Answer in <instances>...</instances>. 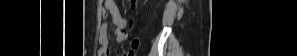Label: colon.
I'll return each mask as SVG.
<instances>
[{
	"mask_svg": "<svg viewBox=\"0 0 297 56\" xmlns=\"http://www.w3.org/2000/svg\"><path fill=\"white\" fill-rule=\"evenodd\" d=\"M138 44V40L134 39L131 43V49L127 52L126 56H135V49L138 47Z\"/></svg>",
	"mask_w": 297,
	"mask_h": 56,
	"instance_id": "1",
	"label": "colon"
}]
</instances>
